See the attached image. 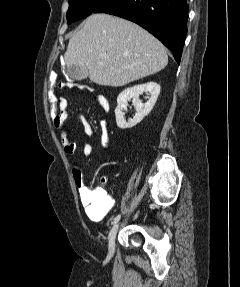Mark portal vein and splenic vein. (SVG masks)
<instances>
[{
  "label": "portal vein and splenic vein",
  "mask_w": 240,
  "mask_h": 287,
  "mask_svg": "<svg viewBox=\"0 0 240 287\" xmlns=\"http://www.w3.org/2000/svg\"><path fill=\"white\" fill-rule=\"evenodd\" d=\"M104 58H107V55H103Z\"/></svg>",
  "instance_id": "1"
}]
</instances>
